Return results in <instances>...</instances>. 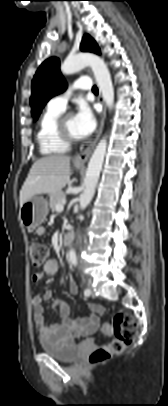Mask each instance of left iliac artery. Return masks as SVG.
<instances>
[{"label": "left iliac artery", "mask_w": 168, "mask_h": 406, "mask_svg": "<svg viewBox=\"0 0 168 406\" xmlns=\"http://www.w3.org/2000/svg\"><path fill=\"white\" fill-rule=\"evenodd\" d=\"M90 294H91L90 289H85V290H84V295H85V296H90Z\"/></svg>", "instance_id": "obj_1"}]
</instances>
